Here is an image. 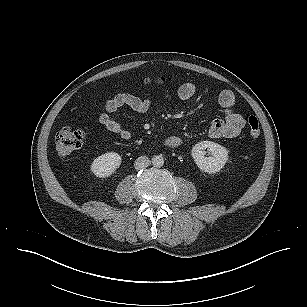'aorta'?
<instances>
[{"mask_svg":"<svg viewBox=\"0 0 307 307\" xmlns=\"http://www.w3.org/2000/svg\"><path fill=\"white\" fill-rule=\"evenodd\" d=\"M152 164L154 167L160 168L164 165V158L162 155H155L152 158Z\"/></svg>","mask_w":307,"mask_h":307,"instance_id":"1","label":"aorta"}]
</instances>
